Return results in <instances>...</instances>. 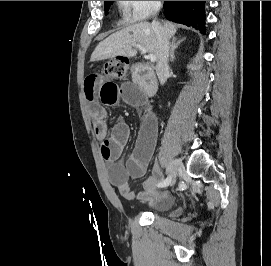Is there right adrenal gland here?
<instances>
[{"instance_id": "obj_1", "label": "right adrenal gland", "mask_w": 271, "mask_h": 266, "mask_svg": "<svg viewBox=\"0 0 271 266\" xmlns=\"http://www.w3.org/2000/svg\"><path fill=\"white\" fill-rule=\"evenodd\" d=\"M184 40H185V38H182V39H180V40H178V41H177V38H176V37H173V38H172L171 49H170V62H173V61H174V58H175L174 52H175L176 48L180 45V43H181L182 41H184Z\"/></svg>"}]
</instances>
